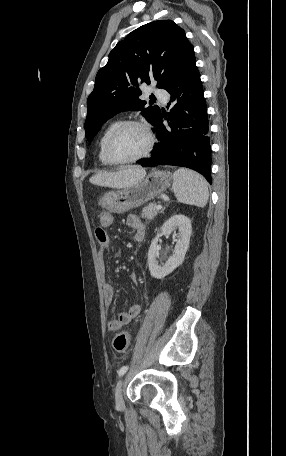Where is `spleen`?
<instances>
[{"label":"spleen","mask_w":286,"mask_h":456,"mask_svg":"<svg viewBox=\"0 0 286 456\" xmlns=\"http://www.w3.org/2000/svg\"><path fill=\"white\" fill-rule=\"evenodd\" d=\"M173 192L178 202L204 207L208 201V185L195 171L180 168L173 174Z\"/></svg>","instance_id":"obj_1"}]
</instances>
